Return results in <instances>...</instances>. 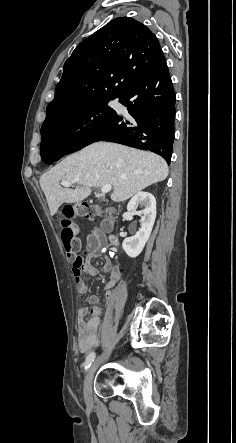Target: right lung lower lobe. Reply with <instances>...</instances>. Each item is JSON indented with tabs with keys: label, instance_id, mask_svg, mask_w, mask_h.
Segmentation results:
<instances>
[{
	"label": "right lung lower lobe",
	"instance_id": "obj_1",
	"mask_svg": "<svg viewBox=\"0 0 236 443\" xmlns=\"http://www.w3.org/2000/svg\"><path fill=\"white\" fill-rule=\"evenodd\" d=\"M129 116L116 111L99 121L85 134L66 146H45L40 149L45 163L52 164L96 141H110L161 155L169 164L174 141L175 92L165 57L137 78L119 96Z\"/></svg>",
	"mask_w": 236,
	"mask_h": 443
}]
</instances>
